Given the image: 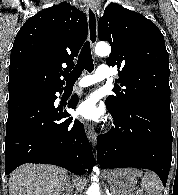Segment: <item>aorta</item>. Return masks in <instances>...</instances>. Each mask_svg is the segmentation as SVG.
Listing matches in <instances>:
<instances>
[{
    "label": "aorta",
    "mask_w": 178,
    "mask_h": 195,
    "mask_svg": "<svg viewBox=\"0 0 178 195\" xmlns=\"http://www.w3.org/2000/svg\"><path fill=\"white\" fill-rule=\"evenodd\" d=\"M111 52V48L108 43L106 42H99L96 44L95 53L98 56H108ZM95 171L98 168L94 169ZM87 195H100V186L98 184V179L96 176L92 177V183L87 191Z\"/></svg>",
    "instance_id": "obj_1"
}]
</instances>
